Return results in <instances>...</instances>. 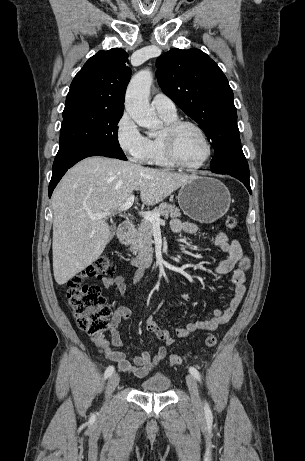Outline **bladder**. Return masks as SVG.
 Wrapping results in <instances>:
<instances>
[{
  "instance_id": "obj_1",
  "label": "bladder",
  "mask_w": 305,
  "mask_h": 461,
  "mask_svg": "<svg viewBox=\"0 0 305 461\" xmlns=\"http://www.w3.org/2000/svg\"><path fill=\"white\" fill-rule=\"evenodd\" d=\"M171 387V380L165 374H156L140 382L139 388L145 393H165Z\"/></svg>"
}]
</instances>
